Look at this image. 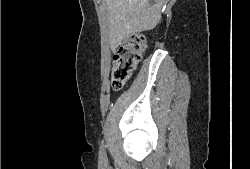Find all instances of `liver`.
<instances>
[{"mask_svg":"<svg viewBox=\"0 0 250 169\" xmlns=\"http://www.w3.org/2000/svg\"><path fill=\"white\" fill-rule=\"evenodd\" d=\"M163 2L164 0H106L112 50L126 36L154 28L161 18Z\"/></svg>","mask_w":250,"mask_h":169,"instance_id":"liver-1","label":"liver"}]
</instances>
